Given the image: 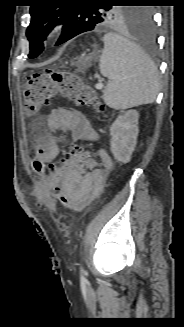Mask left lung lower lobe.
Listing matches in <instances>:
<instances>
[{"label": "left lung lower lobe", "instance_id": "1", "mask_svg": "<svg viewBox=\"0 0 184 327\" xmlns=\"http://www.w3.org/2000/svg\"><path fill=\"white\" fill-rule=\"evenodd\" d=\"M78 35L76 32L71 33L70 31L62 32L56 45H60L69 39ZM135 37L138 44V48L143 52L150 55H155L157 52V40L155 34V24L153 16L150 13L149 16L144 18L135 28Z\"/></svg>", "mask_w": 184, "mask_h": 327}]
</instances>
